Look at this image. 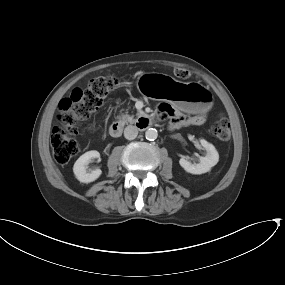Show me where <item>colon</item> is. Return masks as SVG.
Here are the masks:
<instances>
[{"instance_id": "obj_1", "label": "colon", "mask_w": 285, "mask_h": 285, "mask_svg": "<svg viewBox=\"0 0 285 285\" xmlns=\"http://www.w3.org/2000/svg\"><path fill=\"white\" fill-rule=\"evenodd\" d=\"M176 78L186 80L190 72L184 68L174 70ZM121 86L120 80L113 75L93 78L86 88L76 87L70 95L61 99L57 122L52 128L50 142L53 157L59 164L67 163L79 152L76 140V126L79 121L89 118L112 92ZM210 131L220 141L230 137V126L224 115H219L212 123Z\"/></svg>"}]
</instances>
